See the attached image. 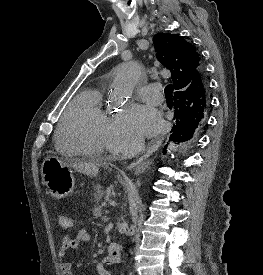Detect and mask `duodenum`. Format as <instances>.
I'll use <instances>...</instances> for the list:
<instances>
[{
	"instance_id": "duodenum-1",
	"label": "duodenum",
	"mask_w": 263,
	"mask_h": 275,
	"mask_svg": "<svg viewBox=\"0 0 263 275\" xmlns=\"http://www.w3.org/2000/svg\"><path fill=\"white\" fill-rule=\"evenodd\" d=\"M121 251L120 247L116 243H110L107 248V255L104 258V263L107 265H112L120 262Z\"/></svg>"
}]
</instances>
